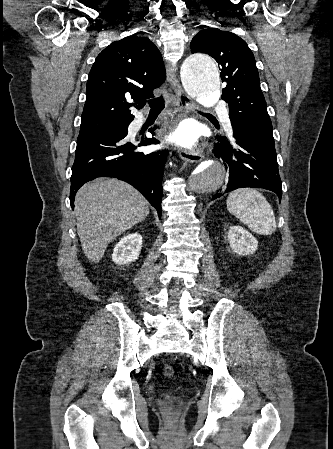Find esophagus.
Here are the masks:
<instances>
[{
	"mask_svg": "<svg viewBox=\"0 0 333 449\" xmlns=\"http://www.w3.org/2000/svg\"><path fill=\"white\" fill-rule=\"evenodd\" d=\"M166 74H167V80L169 81L171 87L173 88L176 97H177V104L180 109V111L184 114L189 113L190 111H193L194 109V103L191 100V98L183 91V89L180 86V83L174 73L170 69V65H166ZM180 158L194 163L198 162L202 159L203 155L200 152L195 151H188V150H181L179 152Z\"/></svg>",
	"mask_w": 333,
	"mask_h": 449,
	"instance_id": "esophagus-1",
	"label": "esophagus"
}]
</instances>
